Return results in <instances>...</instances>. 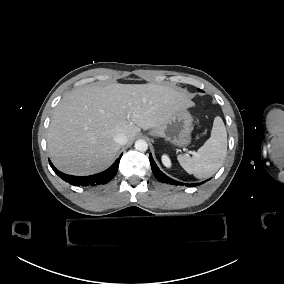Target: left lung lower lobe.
<instances>
[{"instance_id": "obj_1", "label": "left lung lower lobe", "mask_w": 284, "mask_h": 284, "mask_svg": "<svg viewBox=\"0 0 284 284\" xmlns=\"http://www.w3.org/2000/svg\"><path fill=\"white\" fill-rule=\"evenodd\" d=\"M150 160V164H151V168L153 171L154 176L160 181V182H166V183H170L172 185H187V186H194V184H184L181 182H178L176 180L171 179L170 177H168L167 175H165L156 165L155 161L152 158V155L150 154L149 157ZM204 183V182H203ZM195 185H198L195 184Z\"/></svg>"}]
</instances>
